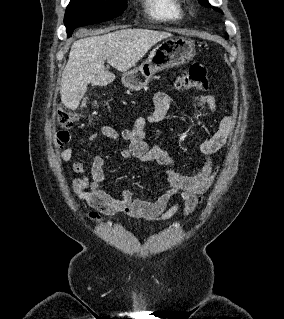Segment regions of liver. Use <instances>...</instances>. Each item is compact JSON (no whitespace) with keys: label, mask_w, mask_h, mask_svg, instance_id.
<instances>
[{"label":"liver","mask_w":284,"mask_h":319,"mask_svg":"<svg viewBox=\"0 0 284 319\" xmlns=\"http://www.w3.org/2000/svg\"><path fill=\"white\" fill-rule=\"evenodd\" d=\"M110 30L72 44L60 87L61 101L66 108L75 110L79 106L89 84L106 86L115 80V75L105 68V61L116 70L126 72L153 45L172 36L148 29Z\"/></svg>","instance_id":"1"}]
</instances>
